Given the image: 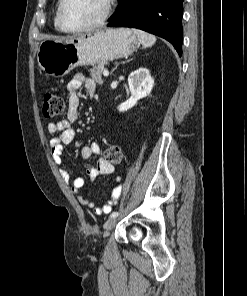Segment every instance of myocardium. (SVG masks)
<instances>
[{"label": "myocardium", "instance_id": "obj_1", "mask_svg": "<svg viewBox=\"0 0 247 296\" xmlns=\"http://www.w3.org/2000/svg\"><path fill=\"white\" fill-rule=\"evenodd\" d=\"M67 0H60L57 8V22L58 26L63 32L66 33H83V32H88L92 31L95 29H98L105 25V23L108 21L110 18L111 12H112V0H104V11L102 16L94 23L87 25L85 27L81 28H70L66 25L64 18H63V10L65 7Z\"/></svg>", "mask_w": 247, "mask_h": 296}]
</instances>
